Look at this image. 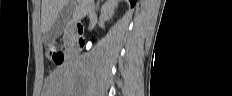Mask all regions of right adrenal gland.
Wrapping results in <instances>:
<instances>
[{"mask_svg": "<svg viewBox=\"0 0 232 96\" xmlns=\"http://www.w3.org/2000/svg\"><path fill=\"white\" fill-rule=\"evenodd\" d=\"M103 0H97L96 10H99L100 2Z\"/></svg>", "mask_w": 232, "mask_h": 96, "instance_id": "1", "label": "right adrenal gland"}]
</instances>
